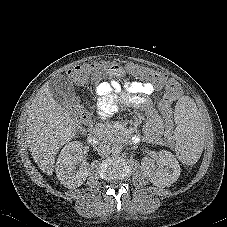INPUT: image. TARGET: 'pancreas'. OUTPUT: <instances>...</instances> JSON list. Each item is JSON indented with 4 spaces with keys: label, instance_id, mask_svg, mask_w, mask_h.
Segmentation results:
<instances>
[{
    "label": "pancreas",
    "instance_id": "obj_1",
    "mask_svg": "<svg viewBox=\"0 0 227 227\" xmlns=\"http://www.w3.org/2000/svg\"><path fill=\"white\" fill-rule=\"evenodd\" d=\"M111 128V125L97 124L94 134L101 138H109L111 136Z\"/></svg>",
    "mask_w": 227,
    "mask_h": 227
}]
</instances>
